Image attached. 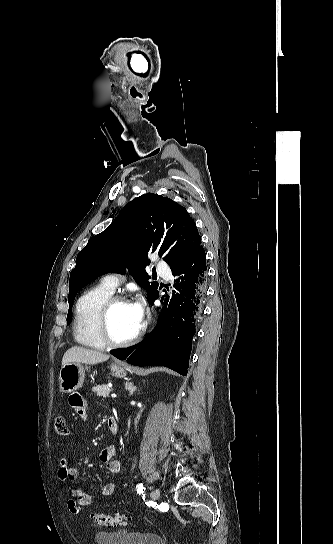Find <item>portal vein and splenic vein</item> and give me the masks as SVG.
I'll list each match as a JSON object with an SVG mask.
<instances>
[{
	"label": "portal vein and splenic vein",
	"instance_id": "1",
	"mask_svg": "<svg viewBox=\"0 0 333 544\" xmlns=\"http://www.w3.org/2000/svg\"><path fill=\"white\" fill-rule=\"evenodd\" d=\"M111 397H112V398H116L117 395H116L115 393H112V394H111Z\"/></svg>",
	"mask_w": 333,
	"mask_h": 544
}]
</instances>
